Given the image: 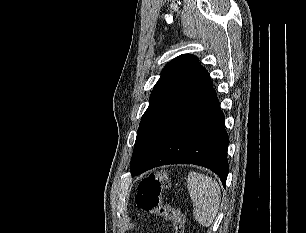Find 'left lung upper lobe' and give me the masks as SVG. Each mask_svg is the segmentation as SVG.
Wrapping results in <instances>:
<instances>
[{"mask_svg": "<svg viewBox=\"0 0 306 233\" xmlns=\"http://www.w3.org/2000/svg\"><path fill=\"white\" fill-rule=\"evenodd\" d=\"M212 86L208 72L194 55H180L164 67L138 128L130 164L132 176L164 135Z\"/></svg>", "mask_w": 306, "mask_h": 233, "instance_id": "obj_1", "label": "left lung upper lobe"}]
</instances>
